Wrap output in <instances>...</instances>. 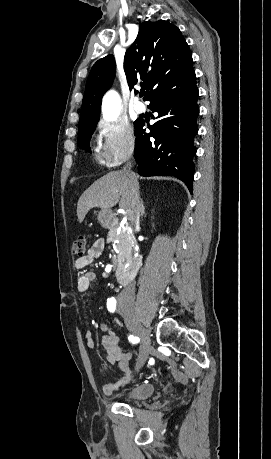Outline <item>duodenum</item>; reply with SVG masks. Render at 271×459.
Returning a JSON list of instances; mask_svg holds the SVG:
<instances>
[{
	"mask_svg": "<svg viewBox=\"0 0 271 459\" xmlns=\"http://www.w3.org/2000/svg\"><path fill=\"white\" fill-rule=\"evenodd\" d=\"M142 260H143V256L142 254H139L134 260H133V263L131 265V267L127 270H123V271H120L117 276H116V280L117 282L120 284V285H128L132 280L133 278L135 277L136 275V272L137 270L140 268V266L142 265Z\"/></svg>",
	"mask_w": 271,
	"mask_h": 459,
	"instance_id": "1",
	"label": "duodenum"
}]
</instances>
